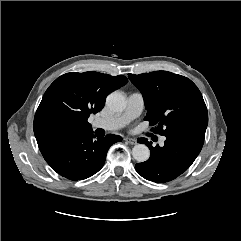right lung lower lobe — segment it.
<instances>
[{
	"instance_id": "right-lung-lower-lobe-1",
	"label": "right lung lower lobe",
	"mask_w": 241,
	"mask_h": 241,
	"mask_svg": "<svg viewBox=\"0 0 241 241\" xmlns=\"http://www.w3.org/2000/svg\"><path fill=\"white\" fill-rule=\"evenodd\" d=\"M93 131L68 132L38 142L46 162L55 172L72 181L86 179L104 165L107 151L120 136L108 134L94 139Z\"/></svg>"
}]
</instances>
